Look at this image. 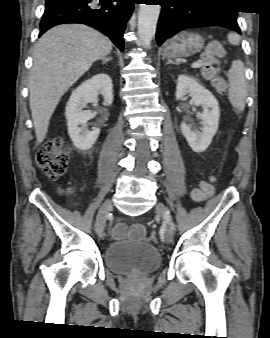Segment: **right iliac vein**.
I'll return each instance as SVG.
<instances>
[{"label": "right iliac vein", "instance_id": "63e3f726", "mask_svg": "<svg viewBox=\"0 0 270 338\" xmlns=\"http://www.w3.org/2000/svg\"><path fill=\"white\" fill-rule=\"evenodd\" d=\"M111 210H112L111 201L110 200L105 201L98 212L96 222H95V231L98 234H100L103 231L106 219Z\"/></svg>", "mask_w": 270, "mask_h": 338}]
</instances>
